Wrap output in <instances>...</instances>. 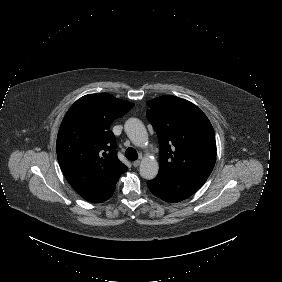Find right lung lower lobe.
Instances as JSON below:
<instances>
[{"label": "right lung lower lobe", "mask_w": 282, "mask_h": 282, "mask_svg": "<svg viewBox=\"0 0 282 282\" xmlns=\"http://www.w3.org/2000/svg\"><path fill=\"white\" fill-rule=\"evenodd\" d=\"M115 185H114V187L110 191H108V192H106L104 194H101L100 196L96 197L94 200H92L90 202L98 203V202H103V201L109 199L113 195V193H114Z\"/></svg>", "instance_id": "98d812e1"}]
</instances>
